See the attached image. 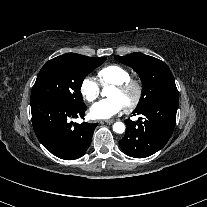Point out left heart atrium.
<instances>
[{"label":"left heart atrium","mask_w":207,"mask_h":207,"mask_svg":"<svg viewBox=\"0 0 207 207\" xmlns=\"http://www.w3.org/2000/svg\"><path fill=\"white\" fill-rule=\"evenodd\" d=\"M126 109V104L119 98L102 99L94 103L89 110L92 118L110 119L122 113Z\"/></svg>","instance_id":"39dd6f15"}]
</instances>
